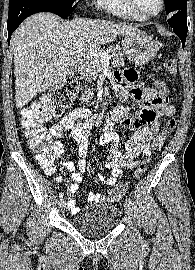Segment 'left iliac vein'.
I'll return each mask as SVG.
<instances>
[{
  "mask_svg": "<svg viewBox=\"0 0 195 270\" xmlns=\"http://www.w3.org/2000/svg\"><path fill=\"white\" fill-rule=\"evenodd\" d=\"M124 209H125V213H126L129 217H131V215H132V207H131V205H130L128 202H126V203L124 204Z\"/></svg>",
  "mask_w": 195,
  "mask_h": 270,
  "instance_id": "obj_1",
  "label": "left iliac vein"
}]
</instances>
